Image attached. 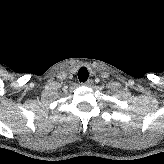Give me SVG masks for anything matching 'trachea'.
Listing matches in <instances>:
<instances>
[{
    "instance_id": "obj_1",
    "label": "trachea",
    "mask_w": 164,
    "mask_h": 164,
    "mask_svg": "<svg viewBox=\"0 0 164 164\" xmlns=\"http://www.w3.org/2000/svg\"><path fill=\"white\" fill-rule=\"evenodd\" d=\"M89 76L88 70L85 67H82L78 71V79L80 82H85L87 81Z\"/></svg>"
}]
</instances>
